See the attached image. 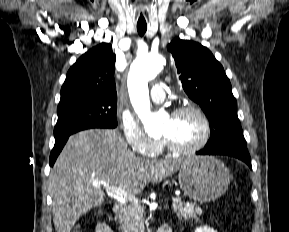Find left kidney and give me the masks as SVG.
Listing matches in <instances>:
<instances>
[{
	"label": "left kidney",
	"mask_w": 289,
	"mask_h": 232,
	"mask_svg": "<svg viewBox=\"0 0 289 232\" xmlns=\"http://www.w3.org/2000/svg\"><path fill=\"white\" fill-rule=\"evenodd\" d=\"M195 232H217V231L208 226H201L196 228Z\"/></svg>",
	"instance_id": "obj_1"
}]
</instances>
